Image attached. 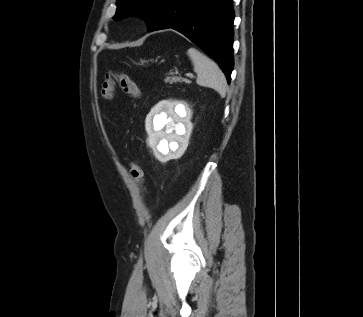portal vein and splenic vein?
Wrapping results in <instances>:
<instances>
[{
  "mask_svg": "<svg viewBox=\"0 0 363 317\" xmlns=\"http://www.w3.org/2000/svg\"><path fill=\"white\" fill-rule=\"evenodd\" d=\"M186 77H188V78H193V77H194V75H193L192 73H187V74H186Z\"/></svg>",
  "mask_w": 363,
  "mask_h": 317,
  "instance_id": "obj_1",
  "label": "portal vein and splenic vein"
}]
</instances>
